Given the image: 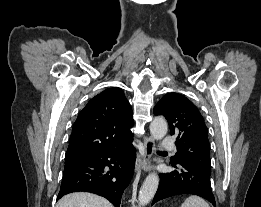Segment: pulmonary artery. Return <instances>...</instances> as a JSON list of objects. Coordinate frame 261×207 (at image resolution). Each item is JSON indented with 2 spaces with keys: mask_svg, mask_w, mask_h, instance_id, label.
Here are the masks:
<instances>
[{
  "mask_svg": "<svg viewBox=\"0 0 261 207\" xmlns=\"http://www.w3.org/2000/svg\"><path fill=\"white\" fill-rule=\"evenodd\" d=\"M174 142L169 137L163 138L161 142V148L164 150H173L174 149Z\"/></svg>",
  "mask_w": 261,
  "mask_h": 207,
  "instance_id": "pulmonary-artery-1",
  "label": "pulmonary artery"
}]
</instances>
